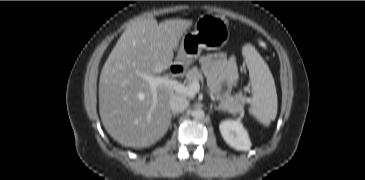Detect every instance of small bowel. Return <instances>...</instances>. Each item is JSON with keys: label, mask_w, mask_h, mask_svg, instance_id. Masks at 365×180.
<instances>
[{"label": "small bowel", "mask_w": 365, "mask_h": 180, "mask_svg": "<svg viewBox=\"0 0 365 180\" xmlns=\"http://www.w3.org/2000/svg\"><path fill=\"white\" fill-rule=\"evenodd\" d=\"M201 65L215 92L221 87L230 91L238 82L237 63L234 57L226 58L223 53L205 55Z\"/></svg>", "instance_id": "small-bowel-1"}]
</instances>
